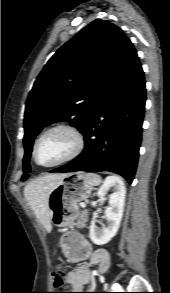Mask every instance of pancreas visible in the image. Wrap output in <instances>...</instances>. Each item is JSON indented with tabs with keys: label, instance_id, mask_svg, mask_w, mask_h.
I'll use <instances>...</instances> for the list:
<instances>
[{
	"label": "pancreas",
	"instance_id": "cf45deb5",
	"mask_svg": "<svg viewBox=\"0 0 170 293\" xmlns=\"http://www.w3.org/2000/svg\"><path fill=\"white\" fill-rule=\"evenodd\" d=\"M88 221V213L86 211H82L79 217L77 218V221L74 223V226L77 228H84L86 226V223Z\"/></svg>",
	"mask_w": 170,
	"mask_h": 293
}]
</instances>
